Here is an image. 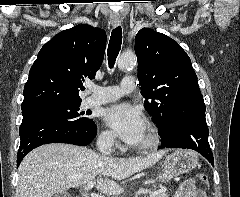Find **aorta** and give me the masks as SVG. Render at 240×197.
I'll return each instance as SVG.
<instances>
[{
    "label": "aorta",
    "mask_w": 240,
    "mask_h": 197,
    "mask_svg": "<svg viewBox=\"0 0 240 197\" xmlns=\"http://www.w3.org/2000/svg\"><path fill=\"white\" fill-rule=\"evenodd\" d=\"M136 64V57L134 54H122L118 59V67L121 70L133 68Z\"/></svg>",
    "instance_id": "1"
}]
</instances>
